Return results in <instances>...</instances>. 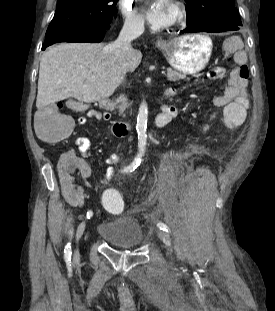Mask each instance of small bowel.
Instances as JSON below:
<instances>
[{
    "label": "small bowel",
    "mask_w": 275,
    "mask_h": 311,
    "mask_svg": "<svg viewBox=\"0 0 275 311\" xmlns=\"http://www.w3.org/2000/svg\"><path fill=\"white\" fill-rule=\"evenodd\" d=\"M223 51L226 53V58L232 56L235 67L230 73L227 87L222 95L216 96L213 99V105L218 108H223L224 118H236V128L240 127L246 118V112L249 107V99L247 93V78L240 75V68L246 66L247 56L241 49L243 43L239 37H231L224 41ZM218 75V73H217ZM175 94L174 89L166 91V96ZM74 110H84V106L77 103ZM88 117H94L99 120H108L109 114L99 112L96 110H89ZM177 116V109L174 106L164 104L161 108V113L156 118V126L163 127L171 122ZM79 125L86 123L85 117H80L77 120ZM202 130L205 132L209 130V123H202ZM81 155H78V150H61L60 155H57V162L59 169H56V176L62 182V189L69 201L75 205L80 206L84 200V193L81 186L77 185L71 180H82L90 176V168L87 160H83L91 147V140L88 137L80 136L75 141ZM120 161L118 155L113 154L109 156L105 162L108 165H113ZM114 174V169L109 167L106 171V180H109Z\"/></svg>",
    "instance_id": "small-bowel-1"
}]
</instances>
